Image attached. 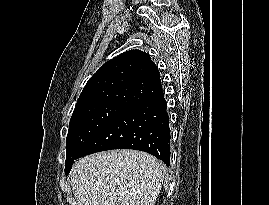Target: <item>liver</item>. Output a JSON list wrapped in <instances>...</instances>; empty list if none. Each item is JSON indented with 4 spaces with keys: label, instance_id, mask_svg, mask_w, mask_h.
<instances>
[{
    "label": "liver",
    "instance_id": "6515ba94",
    "mask_svg": "<svg viewBox=\"0 0 269 205\" xmlns=\"http://www.w3.org/2000/svg\"><path fill=\"white\" fill-rule=\"evenodd\" d=\"M165 166L137 150H111L75 162L71 187L78 205H154Z\"/></svg>",
    "mask_w": 269,
    "mask_h": 205
}]
</instances>
